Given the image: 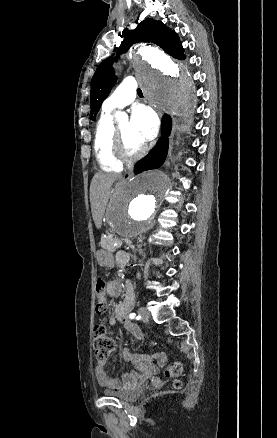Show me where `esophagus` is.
<instances>
[{
    "label": "esophagus",
    "instance_id": "esophagus-1",
    "mask_svg": "<svg viewBox=\"0 0 277 438\" xmlns=\"http://www.w3.org/2000/svg\"><path fill=\"white\" fill-rule=\"evenodd\" d=\"M160 116H161V114H160ZM132 176H133V172H132V171H129L128 174H126V175L124 176V179H126V178H131Z\"/></svg>",
    "mask_w": 277,
    "mask_h": 438
}]
</instances>
